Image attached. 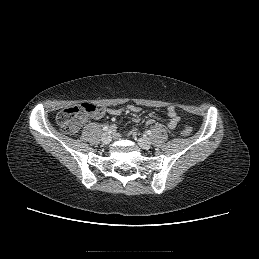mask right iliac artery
I'll return each mask as SVG.
<instances>
[{"label":"right iliac artery","mask_w":259,"mask_h":259,"mask_svg":"<svg viewBox=\"0 0 259 259\" xmlns=\"http://www.w3.org/2000/svg\"><path fill=\"white\" fill-rule=\"evenodd\" d=\"M109 127L106 125L103 127V131H108Z\"/></svg>","instance_id":"82829eb1"}]
</instances>
